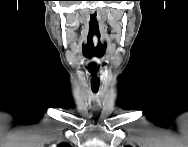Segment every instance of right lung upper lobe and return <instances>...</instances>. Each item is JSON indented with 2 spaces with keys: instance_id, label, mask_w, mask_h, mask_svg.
<instances>
[{
  "instance_id": "right-lung-upper-lobe-1",
  "label": "right lung upper lobe",
  "mask_w": 188,
  "mask_h": 147,
  "mask_svg": "<svg viewBox=\"0 0 188 147\" xmlns=\"http://www.w3.org/2000/svg\"><path fill=\"white\" fill-rule=\"evenodd\" d=\"M59 147H68V145L67 144H62Z\"/></svg>"
}]
</instances>
